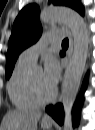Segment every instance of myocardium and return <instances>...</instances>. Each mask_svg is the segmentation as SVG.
<instances>
[{
    "label": "myocardium",
    "mask_w": 95,
    "mask_h": 130,
    "mask_svg": "<svg viewBox=\"0 0 95 130\" xmlns=\"http://www.w3.org/2000/svg\"><path fill=\"white\" fill-rule=\"evenodd\" d=\"M29 92H30L32 99L35 102H37L39 105L48 104V103L52 102L57 96L56 88H54V90L50 96L45 97V98L40 96V94L37 90V87L35 85L33 74H30V76H29Z\"/></svg>",
    "instance_id": "1"
}]
</instances>
